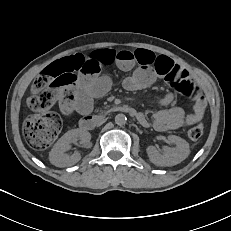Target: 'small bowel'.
Returning a JSON list of instances; mask_svg holds the SVG:
<instances>
[{"label": "small bowel", "mask_w": 231, "mask_h": 231, "mask_svg": "<svg viewBox=\"0 0 231 231\" xmlns=\"http://www.w3.org/2000/svg\"><path fill=\"white\" fill-rule=\"evenodd\" d=\"M59 61L66 62L75 76L72 97L59 100L60 110L64 115H70L74 111L89 112L92 109L93 99L108 92L111 81L101 73L111 65H116L123 71L134 69L132 74L123 81L124 88L129 91L150 86L158 76L169 81L174 73L177 75L183 72L188 73L171 58L156 56L146 49L135 51L100 49L87 55L80 53L70 55ZM172 102V94H167L161 99V104L164 106L171 105ZM139 114L138 120L144 126L167 131L201 122L205 115V103L201 97L194 99L191 113H185L181 107L177 106L162 109L157 111L150 121L144 114Z\"/></svg>", "instance_id": "c3829d8e"}]
</instances>
